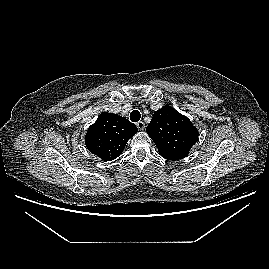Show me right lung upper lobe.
Here are the masks:
<instances>
[{
  "label": "right lung upper lobe",
  "instance_id": "cb5924a9",
  "mask_svg": "<svg viewBox=\"0 0 269 269\" xmlns=\"http://www.w3.org/2000/svg\"><path fill=\"white\" fill-rule=\"evenodd\" d=\"M138 131L135 124L116 114L103 112L85 136L89 151L104 161L116 159Z\"/></svg>",
  "mask_w": 269,
  "mask_h": 269
}]
</instances>
